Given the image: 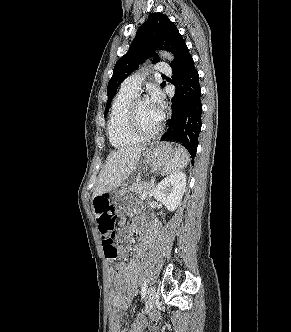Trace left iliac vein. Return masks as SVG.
<instances>
[{"label":"left iliac vein","mask_w":291,"mask_h":332,"mask_svg":"<svg viewBox=\"0 0 291 332\" xmlns=\"http://www.w3.org/2000/svg\"><path fill=\"white\" fill-rule=\"evenodd\" d=\"M156 299V289L154 286L149 287L147 294H146V311H150L154 304Z\"/></svg>","instance_id":"obj_1"}]
</instances>
